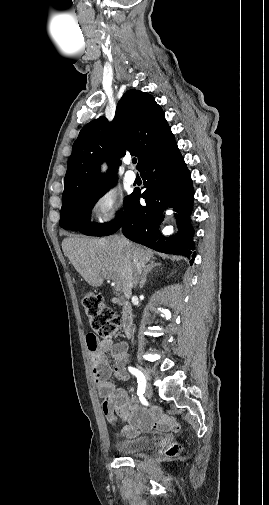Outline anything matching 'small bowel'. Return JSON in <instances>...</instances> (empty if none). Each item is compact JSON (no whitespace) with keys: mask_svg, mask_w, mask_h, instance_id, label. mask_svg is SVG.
Returning a JSON list of instances; mask_svg holds the SVG:
<instances>
[{"mask_svg":"<svg viewBox=\"0 0 269 505\" xmlns=\"http://www.w3.org/2000/svg\"><path fill=\"white\" fill-rule=\"evenodd\" d=\"M86 344L90 354L96 388L103 398L102 409L106 418L115 423L121 418L126 425L121 429V435L135 438L141 432L152 429L168 431L178 428L175 420L163 415L158 407L146 409L133 402L125 389L115 388L111 382L113 376L127 380L129 374L126 369L128 360V347L124 343L115 344L109 339L99 340L89 334ZM106 354L114 359V366L108 362Z\"/></svg>","mask_w":269,"mask_h":505,"instance_id":"small-bowel-1","label":"small bowel"}]
</instances>
